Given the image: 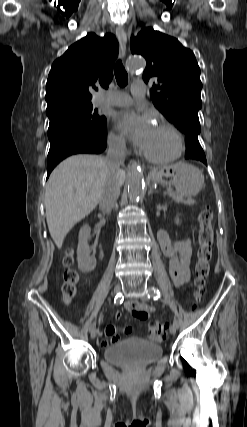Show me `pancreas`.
<instances>
[{
  "label": "pancreas",
  "instance_id": "1",
  "mask_svg": "<svg viewBox=\"0 0 247 427\" xmlns=\"http://www.w3.org/2000/svg\"><path fill=\"white\" fill-rule=\"evenodd\" d=\"M170 196L173 198V200H175L176 202H181V203H187V201L183 198L182 195L180 194H175L172 193L170 194Z\"/></svg>",
  "mask_w": 247,
  "mask_h": 427
}]
</instances>
